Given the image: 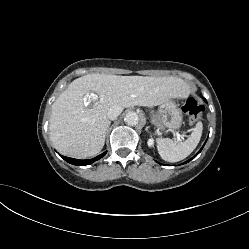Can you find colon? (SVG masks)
<instances>
[{
    "mask_svg": "<svg viewBox=\"0 0 249 249\" xmlns=\"http://www.w3.org/2000/svg\"><path fill=\"white\" fill-rule=\"evenodd\" d=\"M182 109L186 114H188L190 124H195L204 112L203 105H201L198 99L194 96L189 97L185 101Z\"/></svg>",
    "mask_w": 249,
    "mask_h": 249,
    "instance_id": "obj_1",
    "label": "colon"
}]
</instances>
